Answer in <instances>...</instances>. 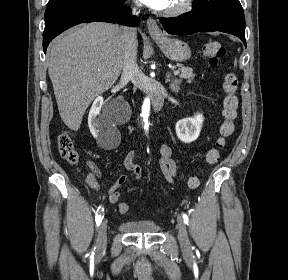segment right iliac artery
Segmentation results:
<instances>
[{
	"instance_id": "right-iliac-artery-1",
	"label": "right iliac artery",
	"mask_w": 288,
	"mask_h": 280,
	"mask_svg": "<svg viewBox=\"0 0 288 280\" xmlns=\"http://www.w3.org/2000/svg\"><path fill=\"white\" fill-rule=\"evenodd\" d=\"M103 217H104V208L102 205H100L96 211V216H95V221H96L97 227L102 222ZM94 250H95V248H94ZM92 255H94V251L92 252Z\"/></svg>"
}]
</instances>
